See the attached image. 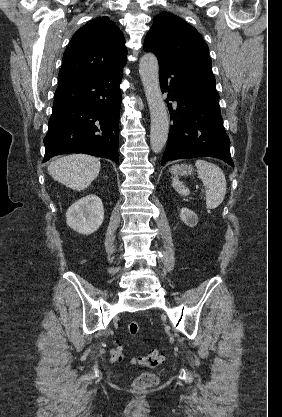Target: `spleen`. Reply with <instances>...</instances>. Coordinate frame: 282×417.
<instances>
[{
	"instance_id": "1",
	"label": "spleen",
	"mask_w": 282,
	"mask_h": 417,
	"mask_svg": "<svg viewBox=\"0 0 282 417\" xmlns=\"http://www.w3.org/2000/svg\"><path fill=\"white\" fill-rule=\"evenodd\" d=\"M195 164L197 166L198 176L203 180L205 186L203 192H205L206 196V209H216V206L221 204L226 194L227 182L225 174L223 170H221L217 164H213V162H207V160L198 158ZM173 186L175 190H177L179 194H183V196H188V194H190L189 188L183 186L178 176L173 178Z\"/></svg>"
}]
</instances>
